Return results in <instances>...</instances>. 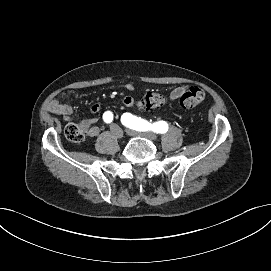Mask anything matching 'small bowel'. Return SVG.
Masks as SVG:
<instances>
[{
	"label": "small bowel",
	"mask_w": 271,
	"mask_h": 271,
	"mask_svg": "<svg viewBox=\"0 0 271 271\" xmlns=\"http://www.w3.org/2000/svg\"><path fill=\"white\" fill-rule=\"evenodd\" d=\"M124 88L126 91L131 92L134 90V85L132 83H126L124 85ZM188 88L186 86H181L173 89L169 94V99L171 101H176L179 99L182 94L187 90ZM136 101L134 98L130 96H126L121 99V104L127 107H133L135 105ZM103 106L100 103L93 104L91 106V112L96 114L102 110ZM49 112L59 115L62 117V119L66 122H69L71 120V116L73 114V109L68 104L59 102L57 100L51 101L48 106ZM83 128L85 130V133L88 137H94L99 134L100 128L98 125V121L96 119H90L88 121H85L83 123Z\"/></svg>",
	"instance_id": "1"
}]
</instances>
